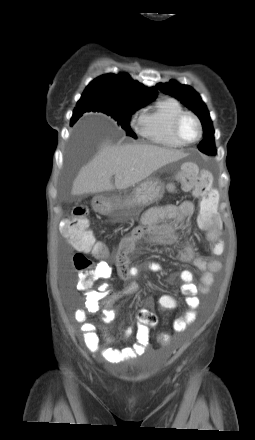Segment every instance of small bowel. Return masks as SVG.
Masks as SVG:
<instances>
[{"label": "small bowel", "instance_id": "c3829d8e", "mask_svg": "<svg viewBox=\"0 0 255 440\" xmlns=\"http://www.w3.org/2000/svg\"><path fill=\"white\" fill-rule=\"evenodd\" d=\"M194 214V204L190 201H184L179 205H163L150 209L146 212L141 220V225L133 228L126 236L122 238L118 249L115 252V265L120 279L125 282L122 289L116 292H109L107 286H103V291H93L88 294L87 310L97 312L99 310L98 300L103 296L107 299L102 306L104 323H109L114 319V304L125 296L134 294L139 291L140 286L134 280L139 269L129 262V254L135 249L136 244L140 240H145L152 244L163 246H176L179 242L177 234V225L185 219L192 217ZM162 221H170L161 223ZM106 253V250H105ZM98 255V254H97ZM105 255V254H104ZM104 255H98L103 257ZM178 258L192 264L201 272L200 284L193 282L194 275L190 270H182L177 275L171 276L170 280L178 278L182 285L180 290L185 297V302L190 311L184 317L174 322L173 328L176 332H182L188 324L195 319V312L200 306L199 294H207L210 292L214 282V274L221 269V263L214 258H204L197 255L191 246L182 247L178 252ZM99 278L105 280L111 276L110 263L102 259L97 264ZM148 268L151 271L158 272L162 269L157 262H150ZM159 298H174L172 295L165 294ZM74 319L81 324V332L84 344L91 352L100 351V336L97 333L95 325L89 320L88 314L84 309H77L74 312ZM138 323L136 333V344L128 348L107 347L101 350L102 357L109 362H117L121 359L142 353L150 344V327L157 324V316L150 307H143L136 314ZM131 330L127 331L129 335ZM110 341V338L106 336ZM169 347V346H162Z\"/></svg>", "mask_w": 255, "mask_h": 440}]
</instances>
